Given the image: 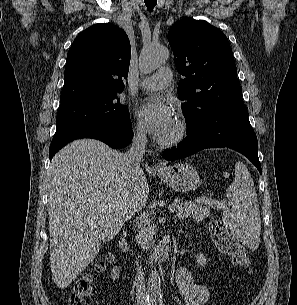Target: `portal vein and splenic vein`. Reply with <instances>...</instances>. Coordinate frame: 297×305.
<instances>
[{
  "label": "portal vein and splenic vein",
  "instance_id": "portal-vein-and-splenic-vein-1",
  "mask_svg": "<svg viewBox=\"0 0 297 305\" xmlns=\"http://www.w3.org/2000/svg\"><path fill=\"white\" fill-rule=\"evenodd\" d=\"M213 203H214V201H213ZM215 206L217 207V208H221L222 207V204H215ZM176 207H177V204H172V205H170L169 206V210H170V212H174L175 210H176Z\"/></svg>",
  "mask_w": 297,
  "mask_h": 305
}]
</instances>
